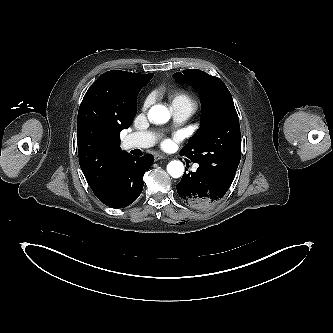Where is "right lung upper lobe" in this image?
Wrapping results in <instances>:
<instances>
[{
	"label": "right lung upper lobe",
	"mask_w": 333,
	"mask_h": 333,
	"mask_svg": "<svg viewBox=\"0 0 333 333\" xmlns=\"http://www.w3.org/2000/svg\"><path fill=\"white\" fill-rule=\"evenodd\" d=\"M153 74L112 70L103 73L86 92L78 111L77 144L80 167L94 194L112 184L120 161V132L137 111V95Z\"/></svg>",
	"instance_id": "obj_1"
}]
</instances>
